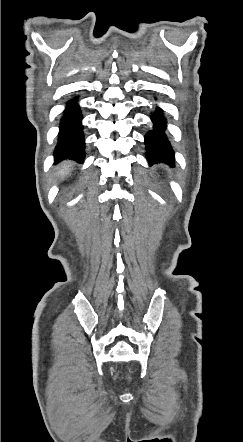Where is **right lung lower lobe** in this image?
<instances>
[{
	"instance_id": "1",
	"label": "right lung lower lobe",
	"mask_w": 243,
	"mask_h": 442,
	"mask_svg": "<svg viewBox=\"0 0 243 442\" xmlns=\"http://www.w3.org/2000/svg\"><path fill=\"white\" fill-rule=\"evenodd\" d=\"M81 119L82 115L77 100H69L60 119L58 143L54 151L56 162L67 158L83 162L85 152Z\"/></svg>"
}]
</instances>
